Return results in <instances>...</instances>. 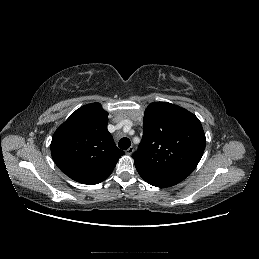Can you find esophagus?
Segmentation results:
<instances>
[{"label":"esophagus","mask_w":259,"mask_h":259,"mask_svg":"<svg viewBox=\"0 0 259 259\" xmlns=\"http://www.w3.org/2000/svg\"><path fill=\"white\" fill-rule=\"evenodd\" d=\"M133 152H134V147H133V146L129 147V148L126 150V154H127V155H131Z\"/></svg>","instance_id":"esophagus-1"}]
</instances>
